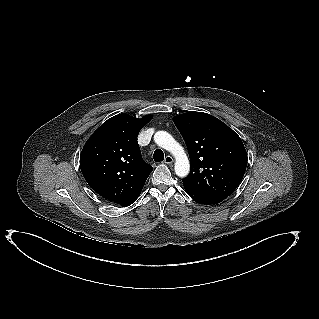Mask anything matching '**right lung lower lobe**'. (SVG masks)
I'll use <instances>...</instances> for the list:
<instances>
[{"label": "right lung lower lobe", "mask_w": 319, "mask_h": 319, "mask_svg": "<svg viewBox=\"0 0 319 319\" xmlns=\"http://www.w3.org/2000/svg\"><path fill=\"white\" fill-rule=\"evenodd\" d=\"M138 196H139V195H138ZM138 196H137V197H138ZM137 197H135L134 199L128 201L127 203H125V204L122 205V206H123V207H127V206L131 205V204L137 199Z\"/></svg>", "instance_id": "obj_1"}]
</instances>
